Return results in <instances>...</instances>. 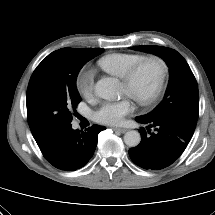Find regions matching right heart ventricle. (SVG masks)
<instances>
[{"label": "right heart ventricle", "mask_w": 215, "mask_h": 215, "mask_svg": "<svg viewBox=\"0 0 215 215\" xmlns=\"http://www.w3.org/2000/svg\"><path fill=\"white\" fill-rule=\"evenodd\" d=\"M142 57L139 53H112L100 58L98 64L107 73L122 79Z\"/></svg>", "instance_id": "1"}]
</instances>
